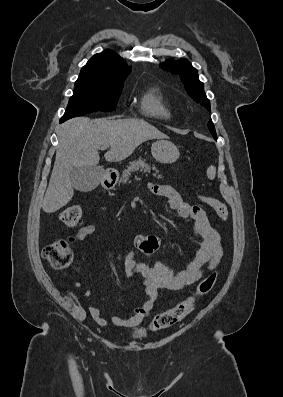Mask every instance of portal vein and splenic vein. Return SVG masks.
I'll list each match as a JSON object with an SVG mask.
<instances>
[{"label": "portal vein and splenic vein", "instance_id": "1", "mask_svg": "<svg viewBox=\"0 0 283 397\" xmlns=\"http://www.w3.org/2000/svg\"><path fill=\"white\" fill-rule=\"evenodd\" d=\"M107 148H109V145L108 144H104L103 145V149H107Z\"/></svg>", "mask_w": 283, "mask_h": 397}]
</instances>
